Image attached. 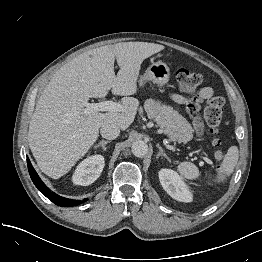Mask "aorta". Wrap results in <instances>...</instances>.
<instances>
[{"instance_id": "obj_1", "label": "aorta", "mask_w": 262, "mask_h": 262, "mask_svg": "<svg viewBox=\"0 0 262 262\" xmlns=\"http://www.w3.org/2000/svg\"><path fill=\"white\" fill-rule=\"evenodd\" d=\"M132 153L136 157H144L148 152V145L144 141H136L131 147Z\"/></svg>"}]
</instances>
